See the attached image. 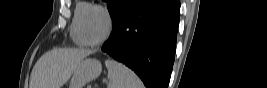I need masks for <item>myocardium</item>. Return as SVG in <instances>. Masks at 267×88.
<instances>
[{"label": "myocardium", "instance_id": "obj_1", "mask_svg": "<svg viewBox=\"0 0 267 88\" xmlns=\"http://www.w3.org/2000/svg\"><path fill=\"white\" fill-rule=\"evenodd\" d=\"M92 10H97V11L101 12L106 19V32H105L104 36L96 42H92V41L88 40L86 35H85V31H84V21H85L87 15L89 14V12ZM111 31H112V17L110 15L109 11L105 7L100 6V5H94L93 7L89 8L83 12L81 19H80V23H79V33H80L82 40L85 42L86 45L98 46V45L103 44L110 36Z\"/></svg>", "mask_w": 267, "mask_h": 88}]
</instances>
